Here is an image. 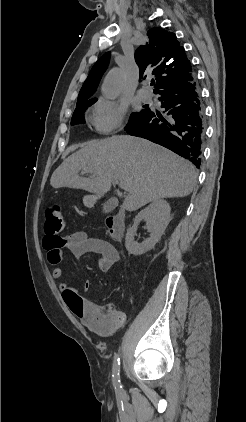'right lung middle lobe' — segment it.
I'll use <instances>...</instances> for the list:
<instances>
[{
	"label": "right lung middle lobe",
	"mask_w": 246,
	"mask_h": 422,
	"mask_svg": "<svg viewBox=\"0 0 246 422\" xmlns=\"http://www.w3.org/2000/svg\"><path fill=\"white\" fill-rule=\"evenodd\" d=\"M93 103H95V101L80 105L78 107H76L72 119H71V124L75 125V124H83L85 123L84 120V112L85 110L91 106ZM147 109H143L141 112H136V113H132L129 119V122L127 125L132 124L134 122H136L137 120L141 119L146 113H147Z\"/></svg>",
	"instance_id": "right-lung-middle-lobe-1"
}]
</instances>
